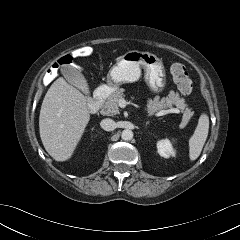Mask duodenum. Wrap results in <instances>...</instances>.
Here are the masks:
<instances>
[{
  "label": "duodenum",
  "instance_id": "410a0bca",
  "mask_svg": "<svg viewBox=\"0 0 240 240\" xmlns=\"http://www.w3.org/2000/svg\"><path fill=\"white\" fill-rule=\"evenodd\" d=\"M108 91H109V86L107 85L99 86L95 90L94 95L88 101V107L91 112H97L99 110L102 100Z\"/></svg>",
  "mask_w": 240,
  "mask_h": 240
}]
</instances>
